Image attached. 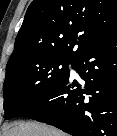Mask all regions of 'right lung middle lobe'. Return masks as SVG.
Listing matches in <instances>:
<instances>
[{"label": "right lung middle lobe", "mask_w": 117, "mask_h": 136, "mask_svg": "<svg viewBox=\"0 0 117 136\" xmlns=\"http://www.w3.org/2000/svg\"><path fill=\"white\" fill-rule=\"evenodd\" d=\"M74 60L33 55L6 65L4 118L11 119L31 99L49 92L69 76Z\"/></svg>", "instance_id": "1"}]
</instances>
